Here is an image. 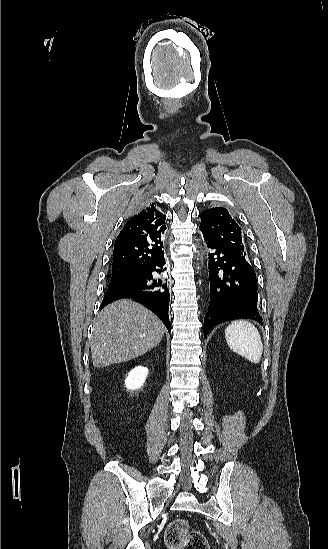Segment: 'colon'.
<instances>
[{"instance_id": "1", "label": "colon", "mask_w": 328, "mask_h": 549, "mask_svg": "<svg viewBox=\"0 0 328 549\" xmlns=\"http://www.w3.org/2000/svg\"><path fill=\"white\" fill-rule=\"evenodd\" d=\"M165 543L170 549H208L204 534L190 530L185 519L172 521L165 532Z\"/></svg>"}]
</instances>
